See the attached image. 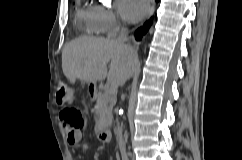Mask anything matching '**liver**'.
<instances>
[{
	"mask_svg": "<svg viewBox=\"0 0 242 160\" xmlns=\"http://www.w3.org/2000/svg\"><path fill=\"white\" fill-rule=\"evenodd\" d=\"M122 46L116 40L97 37H78L67 43L62 50V70L66 78L75 83L79 79L88 83H96L107 78V85L112 93L117 91L119 85L129 78H122L121 68L118 67ZM133 63V68H136ZM109 64V71L107 65Z\"/></svg>",
	"mask_w": 242,
	"mask_h": 160,
	"instance_id": "6515ba94",
	"label": "liver"
}]
</instances>
